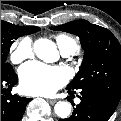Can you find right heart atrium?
Instances as JSON below:
<instances>
[{
	"instance_id": "obj_1",
	"label": "right heart atrium",
	"mask_w": 121,
	"mask_h": 121,
	"mask_svg": "<svg viewBox=\"0 0 121 121\" xmlns=\"http://www.w3.org/2000/svg\"><path fill=\"white\" fill-rule=\"evenodd\" d=\"M33 53V44L29 38L16 40L10 51V58L13 63L18 64L28 59Z\"/></svg>"
}]
</instances>
